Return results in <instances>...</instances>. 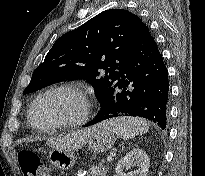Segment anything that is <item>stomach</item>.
I'll return each instance as SVG.
<instances>
[{"mask_svg":"<svg viewBox=\"0 0 205 176\" xmlns=\"http://www.w3.org/2000/svg\"><path fill=\"white\" fill-rule=\"evenodd\" d=\"M114 132L101 124L91 127L88 145L95 153H103L112 148L115 143ZM50 163L57 169L68 170L76 162V157L71 150L53 148L49 153Z\"/></svg>","mask_w":205,"mask_h":176,"instance_id":"1","label":"stomach"}]
</instances>
